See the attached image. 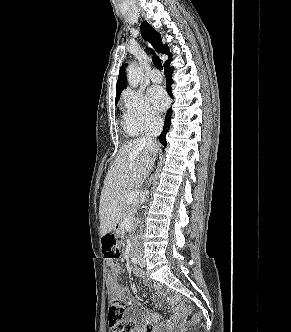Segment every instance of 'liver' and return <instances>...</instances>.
<instances>
[{
  "mask_svg": "<svg viewBox=\"0 0 291 332\" xmlns=\"http://www.w3.org/2000/svg\"><path fill=\"white\" fill-rule=\"evenodd\" d=\"M157 146L149 148L141 139L130 140L119 150L108 169L101 191L99 218L101 236L111 232L122 219L127 194L142 186L153 165Z\"/></svg>",
  "mask_w": 291,
  "mask_h": 332,
  "instance_id": "6515ba94",
  "label": "liver"
}]
</instances>
